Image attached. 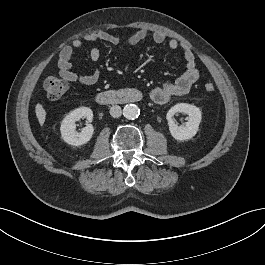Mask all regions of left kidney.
I'll return each instance as SVG.
<instances>
[{"label": "left kidney", "instance_id": "obj_1", "mask_svg": "<svg viewBox=\"0 0 265 265\" xmlns=\"http://www.w3.org/2000/svg\"><path fill=\"white\" fill-rule=\"evenodd\" d=\"M184 113L188 115L185 125L177 126L173 120L176 113ZM169 130L172 137L178 141H186L193 138L199 129V124L202 119L201 110L188 103H179L170 108L167 112Z\"/></svg>", "mask_w": 265, "mask_h": 265}]
</instances>
